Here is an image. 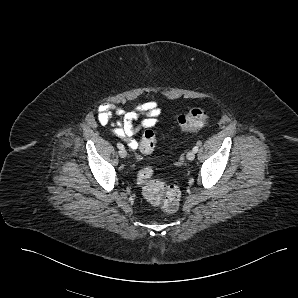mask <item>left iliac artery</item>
Returning a JSON list of instances; mask_svg holds the SVG:
<instances>
[{"label":"left iliac artery","instance_id":"obj_1","mask_svg":"<svg viewBox=\"0 0 298 298\" xmlns=\"http://www.w3.org/2000/svg\"><path fill=\"white\" fill-rule=\"evenodd\" d=\"M198 150H199L198 146H195V147L193 148V151H194L195 153L198 152Z\"/></svg>","mask_w":298,"mask_h":298}]
</instances>
